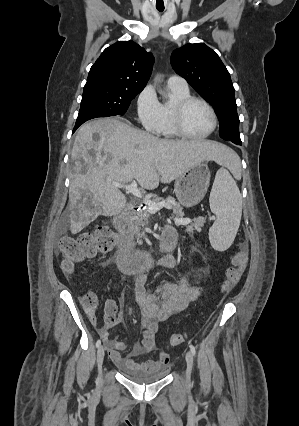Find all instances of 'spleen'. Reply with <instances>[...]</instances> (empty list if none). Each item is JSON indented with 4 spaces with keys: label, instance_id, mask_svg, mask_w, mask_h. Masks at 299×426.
<instances>
[{
    "label": "spleen",
    "instance_id": "1",
    "mask_svg": "<svg viewBox=\"0 0 299 426\" xmlns=\"http://www.w3.org/2000/svg\"><path fill=\"white\" fill-rule=\"evenodd\" d=\"M209 202L216 215L209 240L215 250L225 251L232 245L240 225L242 197L235 180L224 167L216 173Z\"/></svg>",
    "mask_w": 299,
    "mask_h": 426
}]
</instances>
